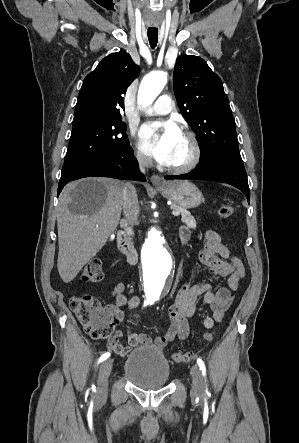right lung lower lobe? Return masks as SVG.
Listing matches in <instances>:
<instances>
[{"label":"right lung lower lobe","instance_id":"98d812e1","mask_svg":"<svg viewBox=\"0 0 299 443\" xmlns=\"http://www.w3.org/2000/svg\"><path fill=\"white\" fill-rule=\"evenodd\" d=\"M102 176L121 180L145 181L144 175L139 173L138 162L133 154L132 148L126 153L118 156L104 157L85 164L66 176L60 178L57 196L63 187L70 181L84 177Z\"/></svg>","mask_w":299,"mask_h":443}]
</instances>
